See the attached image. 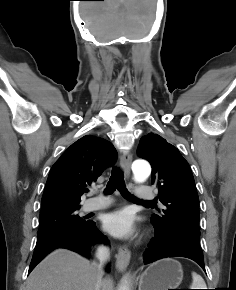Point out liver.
Returning a JSON list of instances; mask_svg holds the SVG:
<instances>
[{"mask_svg":"<svg viewBox=\"0 0 236 290\" xmlns=\"http://www.w3.org/2000/svg\"><path fill=\"white\" fill-rule=\"evenodd\" d=\"M98 285V270L92 263L67 249H56L31 272L25 290H98ZM100 287L114 290L113 280L104 278Z\"/></svg>","mask_w":236,"mask_h":290,"instance_id":"liver-1","label":"liver"}]
</instances>
